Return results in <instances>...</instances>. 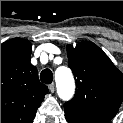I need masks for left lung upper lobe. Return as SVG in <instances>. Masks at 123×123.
<instances>
[{
  "mask_svg": "<svg viewBox=\"0 0 123 123\" xmlns=\"http://www.w3.org/2000/svg\"><path fill=\"white\" fill-rule=\"evenodd\" d=\"M69 67L76 80L74 98L64 104L65 111L77 110L107 121L123 100V74L94 43L80 42L67 46Z\"/></svg>",
  "mask_w": 123,
  "mask_h": 123,
  "instance_id": "1",
  "label": "left lung upper lobe"
}]
</instances>
